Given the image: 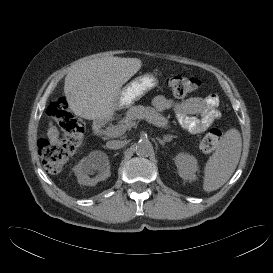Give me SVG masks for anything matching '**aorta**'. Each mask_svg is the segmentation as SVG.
Returning <instances> with one entry per match:
<instances>
[{"instance_id": "obj_1", "label": "aorta", "mask_w": 273, "mask_h": 273, "mask_svg": "<svg viewBox=\"0 0 273 273\" xmlns=\"http://www.w3.org/2000/svg\"><path fill=\"white\" fill-rule=\"evenodd\" d=\"M136 154L138 156H149L153 151V146L148 140H140L135 147Z\"/></svg>"}]
</instances>
